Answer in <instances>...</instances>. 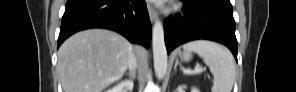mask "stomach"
Returning a JSON list of instances; mask_svg holds the SVG:
<instances>
[{
	"instance_id": "obj_1",
	"label": "stomach",
	"mask_w": 296,
	"mask_h": 92,
	"mask_svg": "<svg viewBox=\"0 0 296 92\" xmlns=\"http://www.w3.org/2000/svg\"><path fill=\"white\" fill-rule=\"evenodd\" d=\"M178 56L180 57L181 61H183V62H188L192 59L191 52L187 51V50L179 51Z\"/></svg>"
}]
</instances>
